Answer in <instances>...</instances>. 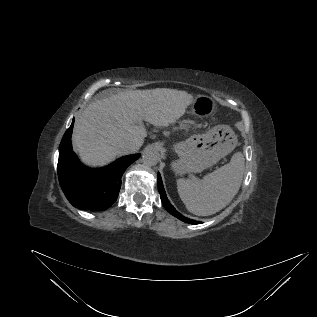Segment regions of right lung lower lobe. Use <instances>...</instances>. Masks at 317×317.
<instances>
[{
	"instance_id": "obj_1",
	"label": "right lung lower lobe",
	"mask_w": 317,
	"mask_h": 317,
	"mask_svg": "<svg viewBox=\"0 0 317 317\" xmlns=\"http://www.w3.org/2000/svg\"><path fill=\"white\" fill-rule=\"evenodd\" d=\"M73 124L74 120L65 132L59 147L57 171L61 188L74 207L93 211L105 210L118 197L122 174L140 154L122 157L100 169L87 168L81 164L72 150Z\"/></svg>"
}]
</instances>
